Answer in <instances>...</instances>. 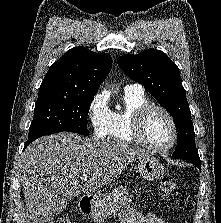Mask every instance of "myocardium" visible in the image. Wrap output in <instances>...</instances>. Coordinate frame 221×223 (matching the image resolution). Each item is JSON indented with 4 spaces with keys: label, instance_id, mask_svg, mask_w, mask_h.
Masks as SVG:
<instances>
[{
    "label": "myocardium",
    "instance_id": "myocardium-1",
    "mask_svg": "<svg viewBox=\"0 0 221 223\" xmlns=\"http://www.w3.org/2000/svg\"><path fill=\"white\" fill-rule=\"evenodd\" d=\"M154 110H158L162 112L168 118L171 124L172 132H173L172 139L165 146L153 145L144 136L145 121L148 115ZM130 133L132 137L134 138V140L138 142L140 145H142L148 150L156 151V152H165V151L170 150L177 143L178 137H179L178 126L172 113L165 107L161 105H156V104H147L139 108L135 112L133 116L132 124L130 126Z\"/></svg>",
    "mask_w": 221,
    "mask_h": 223
}]
</instances>
